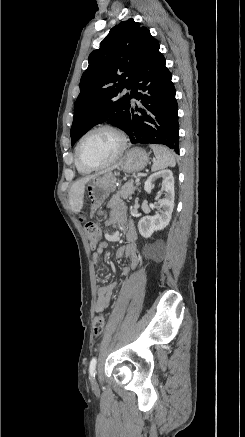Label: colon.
Listing matches in <instances>:
<instances>
[{"mask_svg": "<svg viewBox=\"0 0 245 437\" xmlns=\"http://www.w3.org/2000/svg\"><path fill=\"white\" fill-rule=\"evenodd\" d=\"M84 229H85L88 241L90 243V246L92 248H94L96 246V244L98 243L99 238H100V227H99L98 223L94 222V221H87L84 224ZM105 323H106V320H105V316L103 314H98L95 317L94 325H93V332H94V335L96 337H99L103 333L104 328H105Z\"/></svg>", "mask_w": 245, "mask_h": 437, "instance_id": "obj_1", "label": "colon"}]
</instances>
